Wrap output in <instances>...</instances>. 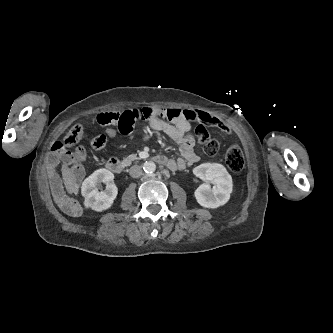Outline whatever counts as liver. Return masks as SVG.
<instances>
[{
	"mask_svg": "<svg viewBox=\"0 0 333 333\" xmlns=\"http://www.w3.org/2000/svg\"><path fill=\"white\" fill-rule=\"evenodd\" d=\"M62 171V177L64 181L65 188L68 193L72 194L78 189V184L76 183V176L71 171L70 168L66 164L62 165L61 168Z\"/></svg>",
	"mask_w": 333,
	"mask_h": 333,
	"instance_id": "liver-1",
	"label": "liver"
}]
</instances>
